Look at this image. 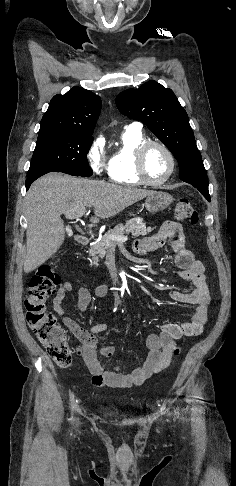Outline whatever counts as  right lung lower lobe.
Listing matches in <instances>:
<instances>
[{
	"label": "right lung lower lobe",
	"instance_id": "obj_1",
	"mask_svg": "<svg viewBox=\"0 0 236 486\" xmlns=\"http://www.w3.org/2000/svg\"><path fill=\"white\" fill-rule=\"evenodd\" d=\"M48 172H41V173H36V174H33V175H30V176H27V180H26V191L29 189L30 185L37 179L39 178L40 176L46 174ZM72 176H78V175H72Z\"/></svg>",
	"mask_w": 236,
	"mask_h": 486
}]
</instances>
